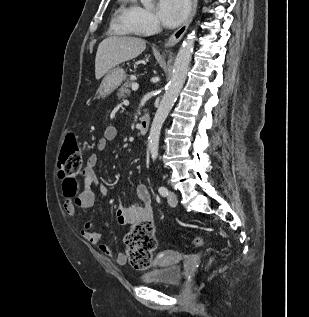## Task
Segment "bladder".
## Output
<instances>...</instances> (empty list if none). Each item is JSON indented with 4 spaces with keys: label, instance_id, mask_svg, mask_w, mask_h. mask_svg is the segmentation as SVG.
I'll return each instance as SVG.
<instances>
[{
    "label": "bladder",
    "instance_id": "bladder-1",
    "mask_svg": "<svg viewBox=\"0 0 309 317\" xmlns=\"http://www.w3.org/2000/svg\"><path fill=\"white\" fill-rule=\"evenodd\" d=\"M182 269L178 265H165L150 270L140 276V281L144 284H161L175 287L182 281Z\"/></svg>",
    "mask_w": 309,
    "mask_h": 317
}]
</instances>
